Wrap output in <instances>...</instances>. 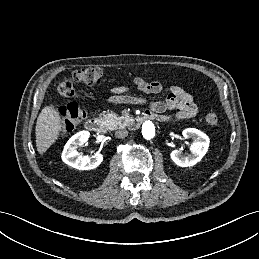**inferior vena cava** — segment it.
Listing matches in <instances>:
<instances>
[{
  "label": "inferior vena cava",
  "mask_w": 259,
  "mask_h": 259,
  "mask_svg": "<svg viewBox=\"0 0 259 259\" xmlns=\"http://www.w3.org/2000/svg\"><path fill=\"white\" fill-rule=\"evenodd\" d=\"M128 131L126 129H119L115 132V137L119 139H123L127 137Z\"/></svg>",
  "instance_id": "obj_1"
}]
</instances>
